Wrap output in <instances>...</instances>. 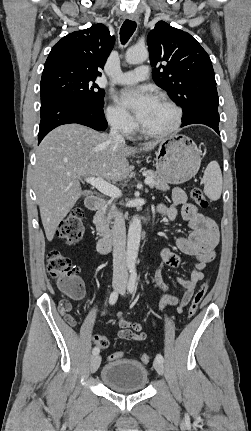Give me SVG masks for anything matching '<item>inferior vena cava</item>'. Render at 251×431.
Here are the masks:
<instances>
[{
	"mask_svg": "<svg viewBox=\"0 0 251 431\" xmlns=\"http://www.w3.org/2000/svg\"><path fill=\"white\" fill-rule=\"evenodd\" d=\"M110 137L116 143L125 144L123 135L119 132L117 123L111 126ZM112 242H113V278L126 281L128 272L126 269V228L123 214L117 212L112 227Z\"/></svg>",
	"mask_w": 251,
	"mask_h": 431,
	"instance_id": "1",
	"label": "inferior vena cava"
}]
</instances>
